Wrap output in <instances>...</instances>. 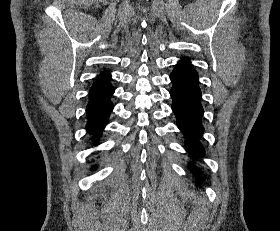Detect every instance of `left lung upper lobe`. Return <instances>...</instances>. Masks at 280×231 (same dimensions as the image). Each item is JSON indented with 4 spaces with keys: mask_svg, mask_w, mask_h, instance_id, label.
Segmentation results:
<instances>
[{
    "mask_svg": "<svg viewBox=\"0 0 280 231\" xmlns=\"http://www.w3.org/2000/svg\"><path fill=\"white\" fill-rule=\"evenodd\" d=\"M177 67L184 69H193V66L190 64L187 58H182V61L177 64Z\"/></svg>",
    "mask_w": 280,
    "mask_h": 231,
    "instance_id": "obj_1",
    "label": "left lung upper lobe"
}]
</instances>
